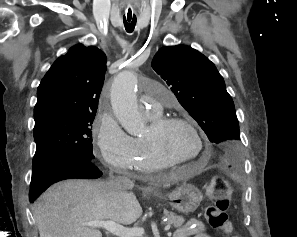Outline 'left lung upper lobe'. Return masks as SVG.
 <instances>
[{"label":"left lung upper lobe","mask_w":297,"mask_h":237,"mask_svg":"<svg viewBox=\"0 0 297 237\" xmlns=\"http://www.w3.org/2000/svg\"><path fill=\"white\" fill-rule=\"evenodd\" d=\"M152 68L214 143L225 161L241 155L239 123L223 77L199 51L185 45L160 49Z\"/></svg>","instance_id":"obj_1"}]
</instances>
